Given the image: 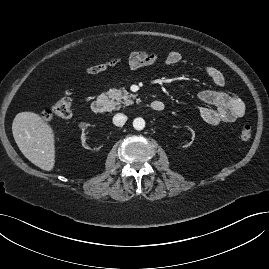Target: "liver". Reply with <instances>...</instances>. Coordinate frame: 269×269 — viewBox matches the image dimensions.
Masks as SVG:
<instances>
[{"label":"liver","mask_w":269,"mask_h":269,"mask_svg":"<svg viewBox=\"0 0 269 269\" xmlns=\"http://www.w3.org/2000/svg\"><path fill=\"white\" fill-rule=\"evenodd\" d=\"M14 140L22 154L37 167L55 166V135L47 120L35 112H20L12 123Z\"/></svg>","instance_id":"liver-1"}]
</instances>
